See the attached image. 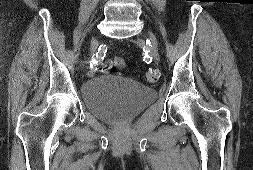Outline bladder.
Wrapping results in <instances>:
<instances>
[{"instance_id":"31cf9c89","label":"bladder","mask_w":253,"mask_h":170,"mask_svg":"<svg viewBox=\"0 0 253 170\" xmlns=\"http://www.w3.org/2000/svg\"><path fill=\"white\" fill-rule=\"evenodd\" d=\"M81 95L91 114L113 123L135 118L156 100L154 88L112 74L87 80Z\"/></svg>"}]
</instances>
